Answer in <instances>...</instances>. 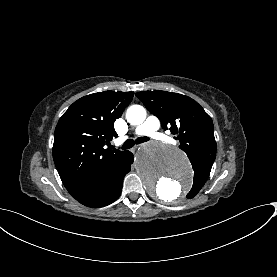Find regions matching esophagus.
Masks as SVG:
<instances>
[{
  "mask_svg": "<svg viewBox=\"0 0 277 277\" xmlns=\"http://www.w3.org/2000/svg\"><path fill=\"white\" fill-rule=\"evenodd\" d=\"M140 146H141V144H139V145H136V146H135V148H138V147H140Z\"/></svg>",
  "mask_w": 277,
  "mask_h": 277,
  "instance_id": "34e87169",
  "label": "esophagus"
}]
</instances>
